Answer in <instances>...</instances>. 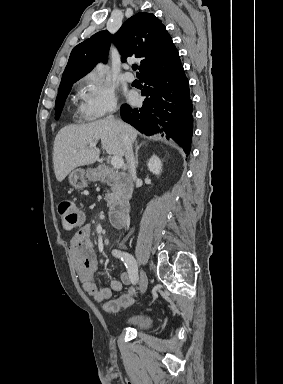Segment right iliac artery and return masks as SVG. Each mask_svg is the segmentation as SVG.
<instances>
[{
	"label": "right iliac artery",
	"mask_w": 283,
	"mask_h": 384,
	"mask_svg": "<svg viewBox=\"0 0 283 384\" xmlns=\"http://www.w3.org/2000/svg\"><path fill=\"white\" fill-rule=\"evenodd\" d=\"M112 254L124 262L128 270L131 283L136 285L138 282V268L134 257L131 254L118 249H114Z\"/></svg>",
	"instance_id": "right-iliac-artery-1"
}]
</instances>
